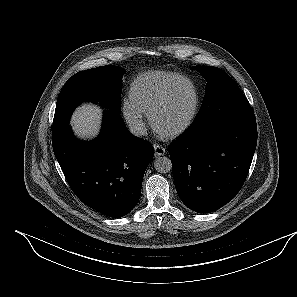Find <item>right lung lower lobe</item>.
<instances>
[{
  "label": "right lung lower lobe",
  "mask_w": 297,
  "mask_h": 297,
  "mask_svg": "<svg viewBox=\"0 0 297 297\" xmlns=\"http://www.w3.org/2000/svg\"><path fill=\"white\" fill-rule=\"evenodd\" d=\"M52 144L68 184L84 204L114 218L136 206L154 151L150 142L127 130L118 112H104L94 141L78 140L67 125Z\"/></svg>",
  "instance_id": "right-lung-lower-lobe-1"
}]
</instances>
